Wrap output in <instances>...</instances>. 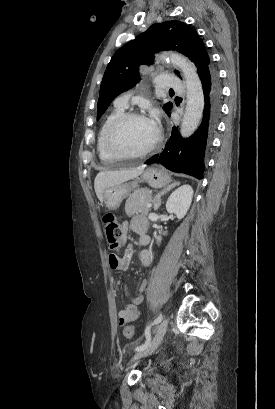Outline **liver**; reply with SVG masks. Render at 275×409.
I'll return each mask as SVG.
<instances>
[{
	"label": "liver",
	"instance_id": "obj_1",
	"mask_svg": "<svg viewBox=\"0 0 275 409\" xmlns=\"http://www.w3.org/2000/svg\"><path fill=\"white\" fill-rule=\"evenodd\" d=\"M143 170L144 164L138 166V168H133V170H101V172H98L94 180V188L100 202H103V192L105 188H110V186H114V184H121V182H125V180L135 178V176H139Z\"/></svg>",
	"mask_w": 275,
	"mask_h": 409
}]
</instances>
